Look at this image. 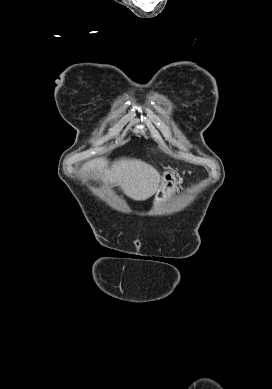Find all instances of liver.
I'll list each match as a JSON object with an SVG mask.
<instances>
[{
	"mask_svg": "<svg viewBox=\"0 0 272 389\" xmlns=\"http://www.w3.org/2000/svg\"><path fill=\"white\" fill-rule=\"evenodd\" d=\"M82 171H92L97 179L120 186L128 197L137 201L153 196L161 181L159 172L139 159L123 158L109 167L106 159L97 158L85 163Z\"/></svg>",
	"mask_w": 272,
	"mask_h": 389,
	"instance_id": "liver-1",
	"label": "liver"
}]
</instances>
